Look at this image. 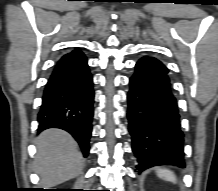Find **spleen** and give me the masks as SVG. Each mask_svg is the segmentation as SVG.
I'll list each match as a JSON object with an SVG mask.
<instances>
[{"mask_svg":"<svg viewBox=\"0 0 218 191\" xmlns=\"http://www.w3.org/2000/svg\"><path fill=\"white\" fill-rule=\"evenodd\" d=\"M156 174L159 178L165 180V181H169V182H173L176 183V176L175 174L166 168H158L156 171Z\"/></svg>","mask_w":218,"mask_h":191,"instance_id":"spleen-1","label":"spleen"}]
</instances>
